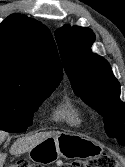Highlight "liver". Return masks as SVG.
<instances>
[{
    "label": "liver",
    "mask_w": 125,
    "mask_h": 167,
    "mask_svg": "<svg viewBox=\"0 0 125 167\" xmlns=\"http://www.w3.org/2000/svg\"><path fill=\"white\" fill-rule=\"evenodd\" d=\"M61 134L59 131H50V132H39L32 135H26L22 138L17 139L10 148V153L12 155H20L26 152H29L33 147H35L40 142L45 139ZM7 137V133L0 131V143H2ZM5 153H0V167H3V164L6 159Z\"/></svg>",
    "instance_id": "liver-1"
}]
</instances>
